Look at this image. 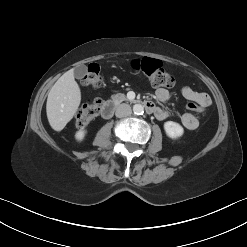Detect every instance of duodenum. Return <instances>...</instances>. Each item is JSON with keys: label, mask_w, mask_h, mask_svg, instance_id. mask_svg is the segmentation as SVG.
I'll list each match as a JSON object with an SVG mask.
<instances>
[{"label": "duodenum", "mask_w": 247, "mask_h": 247, "mask_svg": "<svg viewBox=\"0 0 247 247\" xmlns=\"http://www.w3.org/2000/svg\"><path fill=\"white\" fill-rule=\"evenodd\" d=\"M144 106L146 108L147 111L149 112H155L156 111V106L150 102V101H146L144 102ZM116 108V104L113 101H107L103 104L102 109H101V115L104 119H108L110 118Z\"/></svg>", "instance_id": "duodenum-1"}]
</instances>
